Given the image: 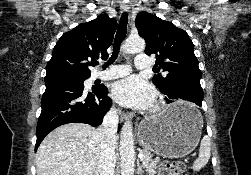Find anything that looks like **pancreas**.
<instances>
[{
    "label": "pancreas",
    "mask_w": 251,
    "mask_h": 175,
    "mask_svg": "<svg viewBox=\"0 0 251 175\" xmlns=\"http://www.w3.org/2000/svg\"><path fill=\"white\" fill-rule=\"evenodd\" d=\"M141 153H144V157H141L143 167H145L149 175H154V173H156L155 169L157 167V163L160 161L159 157L152 159L153 153H151V151H145V149H142Z\"/></svg>",
    "instance_id": "1"
}]
</instances>
